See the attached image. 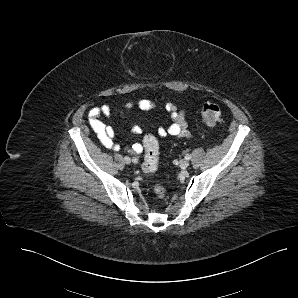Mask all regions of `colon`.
<instances>
[{
	"mask_svg": "<svg viewBox=\"0 0 298 298\" xmlns=\"http://www.w3.org/2000/svg\"><path fill=\"white\" fill-rule=\"evenodd\" d=\"M201 116L207 126H215L222 120V112L220 107L212 102H206L201 107ZM144 159L142 162V171L145 174H152L158 169L159 165V143L157 138L148 134L143 139ZM154 193L161 198L165 194V190L161 185L154 187Z\"/></svg>",
	"mask_w": 298,
	"mask_h": 298,
	"instance_id": "obj_1",
	"label": "colon"
}]
</instances>
